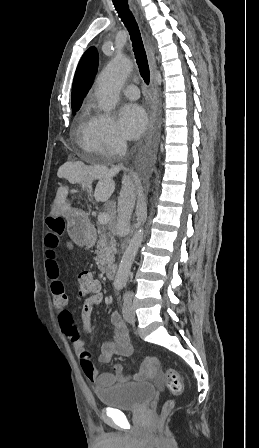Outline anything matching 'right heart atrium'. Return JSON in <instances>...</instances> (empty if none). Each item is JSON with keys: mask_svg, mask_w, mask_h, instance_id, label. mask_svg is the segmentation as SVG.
Listing matches in <instances>:
<instances>
[{"mask_svg": "<svg viewBox=\"0 0 259 448\" xmlns=\"http://www.w3.org/2000/svg\"><path fill=\"white\" fill-rule=\"evenodd\" d=\"M93 152L98 157H120L126 147L114 117L106 112L99 114L93 135Z\"/></svg>", "mask_w": 259, "mask_h": 448, "instance_id": "d8ad5b80", "label": "right heart atrium"}]
</instances>
